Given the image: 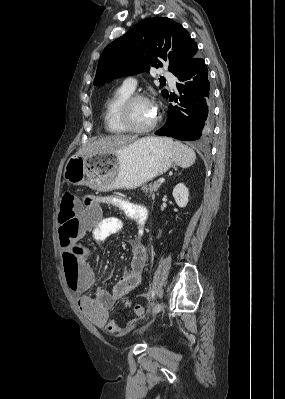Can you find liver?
<instances>
[{"label":"liver","instance_id":"1","mask_svg":"<svg viewBox=\"0 0 285 399\" xmlns=\"http://www.w3.org/2000/svg\"><path fill=\"white\" fill-rule=\"evenodd\" d=\"M137 139V136L122 134L101 137L93 143L82 148L77 154L88 155L98 151L114 153L129 146L133 142L137 141Z\"/></svg>","mask_w":285,"mask_h":399}]
</instances>
